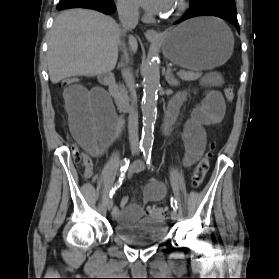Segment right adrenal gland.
I'll return each instance as SVG.
<instances>
[{
    "instance_id": "1",
    "label": "right adrenal gland",
    "mask_w": 279,
    "mask_h": 279,
    "mask_svg": "<svg viewBox=\"0 0 279 279\" xmlns=\"http://www.w3.org/2000/svg\"><path fill=\"white\" fill-rule=\"evenodd\" d=\"M124 58H125V60H123L124 62L121 61V62L118 64V68H123V67L125 66V64L128 63V57H127L126 54H125Z\"/></svg>"
}]
</instances>
